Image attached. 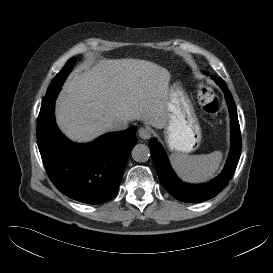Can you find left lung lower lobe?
I'll return each instance as SVG.
<instances>
[{
  "mask_svg": "<svg viewBox=\"0 0 273 273\" xmlns=\"http://www.w3.org/2000/svg\"><path fill=\"white\" fill-rule=\"evenodd\" d=\"M211 78L215 80L225 93L231 119V149L221 174L214 180L202 185L183 183L173 172L162 146L155 138L149 141L152 159L161 184L169 194L182 202L194 203L215 197L232 178L240 158L241 135L235 103L224 81L215 76H211Z\"/></svg>",
  "mask_w": 273,
  "mask_h": 273,
  "instance_id": "obj_1",
  "label": "left lung lower lobe"
}]
</instances>
